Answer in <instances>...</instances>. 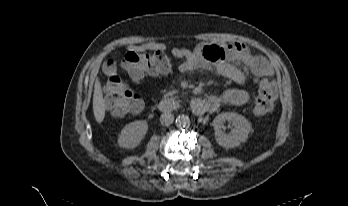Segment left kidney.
<instances>
[{"mask_svg": "<svg viewBox=\"0 0 348 206\" xmlns=\"http://www.w3.org/2000/svg\"><path fill=\"white\" fill-rule=\"evenodd\" d=\"M225 121L232 122L234 126L228 134L223 131ZM212 125L215 129L216 142L226 149L238 147L240 143L245 142L252 129L251 123L245 117L233 112L219 114Z\"/></svg>", "mask_w": 348, "mask_h": 206, "instance_id": "obj_1", "label": "left kidney"}]
</instances>
